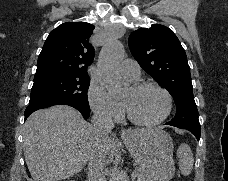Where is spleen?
<instances>
[{
	"mask_svg": "<svg viewBox=\"0 0 228 181\" xmlns=\"http://www.w3.org/2000/svg\"><path fill=\"white\" fill-rule=\"evenodd\" d=\"M177 157L179 159L180 173L184 175V177H187V175H190L194 163L193 153L189 145L182 143L179 149H177Z\"/></svg>",
	"mask_w": 228,
	"mask_h": 181,
	"instance_id": "obj_1",
	"label": "spleen"
}]
</instances>
